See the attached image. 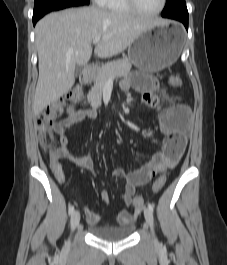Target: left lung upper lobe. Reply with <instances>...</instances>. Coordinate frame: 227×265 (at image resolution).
Returning a JSON list of instances; mask_svg holds the SVG:
<instances>
[{"label":"left lung upper lobe","mask_w":227,"mask_h":265,"mask_svg":"<svg viewBox=\"0 0 227 265\" xmlns=\"http://www.w3.org/2000/svg\"><path fill=\"white\" fill-rule=\"evenodd\" d=\"M162 16L167 18H188L185 0H167Z\"/></svg>","instance_id":"obj_1"}]
</instances>
